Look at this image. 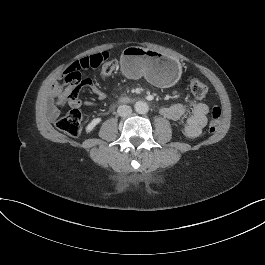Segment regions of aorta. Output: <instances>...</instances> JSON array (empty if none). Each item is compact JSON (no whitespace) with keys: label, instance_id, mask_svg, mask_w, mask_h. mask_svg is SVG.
<instances>
[{"label":"aorta","instance_id":"1","mask_svg":"<svg viewBox=\"0 0 265 265\" xmlns=\"http://www.w3.org/2000/svg\"><path fill=\"white\" fill-rule=\"evenodd\" d=\"M134 108L138 114H146L149 110L148 104L143 101L136 102Z\"/></svg>","mask_w":265,"mask_h":265}]
</instances>
